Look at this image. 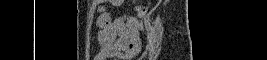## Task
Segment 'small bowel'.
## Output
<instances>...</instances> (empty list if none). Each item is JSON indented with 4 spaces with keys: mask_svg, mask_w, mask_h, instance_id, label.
Segmentation results:
<instances>
[{
    "mask_svg": "<svg viewBox=\"0 0 267 60\" xmlns=\"http://www.w3.org/2000/svg\"><path fill=\"white\" fill-rule=\"evenodd\" d=\"M114 6L122 5L112 0ZM97 38L100 50L96 60L130 59L141 47L140 24L130 17L113 19L108 12H101L97 19Z\"/></svg>",
    "mask_w": 267,
    "mask_h": 60,
    "instance_id": "1",
    "label": "small bowel"
}]
</instances>
